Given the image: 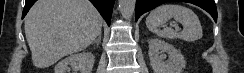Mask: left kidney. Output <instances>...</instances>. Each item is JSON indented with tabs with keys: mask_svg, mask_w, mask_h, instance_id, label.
Segmentation results:
<instances>
[{
	"mask_svg": "<svg viewBox=\"0 0 244 73\" xmlns=\"http://www.w3.org/2000/svg\"><path fill=\"white\" fill-rule=\"evenodd\" d=\"M167 53L168 59H166ZM149 59L154 73H181L186 61L173 45L157 38L149 40Z\"/></svg>",
	"mask_w": 244,
	"mask_h": 73,
	"instance_id": "5707ae66",
	"label": "left kidney"
}]
</instances>
